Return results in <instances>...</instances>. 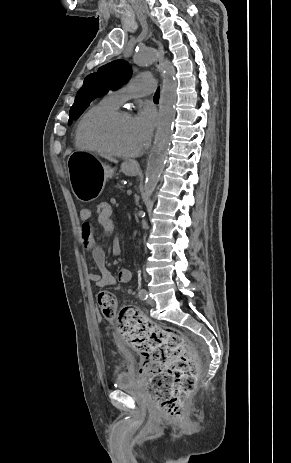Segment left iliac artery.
Wrapping results in <instances>:
<instances>
[{
  "mask_svg": "<svg viewBox=\"0 0 291 463\" xmlns=\"http://www.w3.org/2000/svg\"><path fill=\"white\" fill-rule=\"evenodd\" d=\"M139 298L141 300H146L148 298V294H147V291L145 289H141L139 291Z\"/></svg>",
  "mask_w": 291,
  "mask_h": 463,
  "instance_id": "44dca946",
  "label": "left iliac artery"
}]
</instances>
